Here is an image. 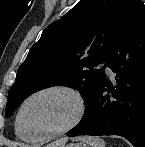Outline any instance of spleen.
<instances>
[{"mask_svg":"<svg viewBox=\"0 0 145 147\" xmlns=\"http://www.w3.org/2000/svg\"><path fill=\"white\" fill-rule=\"evenodd\" d=\"M80 140L86 142L90 147H105L104 140L99 137L86 136L82 137Z\"/></svg>","mask_w":145,"mask_h":147,"instance_id":"obj_1","label":"spleen"}]
</instances>
